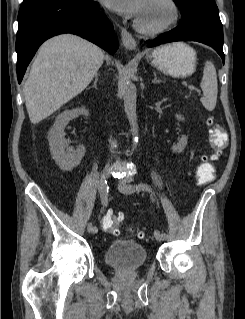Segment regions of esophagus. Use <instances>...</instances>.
<instances>
[{
	"mask_svg": "<svg viewBox=\"0 0 245 319\" xmlns=\"http://www.w3.org/2000/svg\"><path fill=\"white\" fill-rule=\"evenodd\" d=\"M121 39L124 47L127 50L134 51L137 48V43L134 37L126 30V29H121Z\"/></svg>",
	"mask_w": 245,
	"mask_h": 319,
	"instance_id": "1",
	"label": "esophagus"
}]
</instances>
